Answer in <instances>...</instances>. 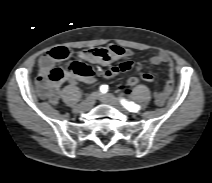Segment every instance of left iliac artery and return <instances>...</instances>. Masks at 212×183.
Segmentation results:
<instances>
[{
	"label": "left iliac artery",
	"instance_id": "obj_1",
	"mask_svg": "<svg viewBox=\"0 0 212 183\" xmlns=\"http://www.w3.org/2000/svg\"><path fill=\"white\" fill-rule=\"evenodd\" d=\"M121 104L130 112H137L141 109L139 105L135 104L134 102H129L125 99H121Z\"/></svg>",
	"mask_w": 212,
	"mask_h": 183
}]
</instances>
